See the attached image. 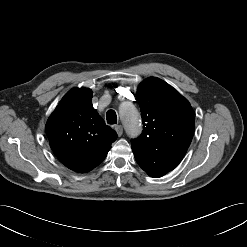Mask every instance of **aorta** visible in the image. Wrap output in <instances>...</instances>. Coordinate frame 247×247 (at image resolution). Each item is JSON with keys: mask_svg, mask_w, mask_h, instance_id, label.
<instances>
[{"mask_svg": "<svg viewBox=\"0 0 247 247\" xmlns=\"http://www.w3.org/2000/svg\"><path fill=\"white\" fill-rule=\"evenodd\" d=\"M120 117L128 136L134 138L141 133L140 114L133 104L123 103L120 106Z\"/></svg>", "mask_w": 247, "mask_h": 247, "instance_id": "1", "label": "aorta"}]
</instances>
